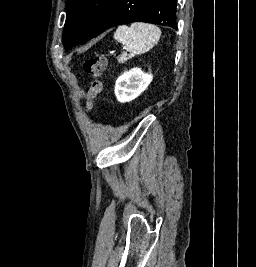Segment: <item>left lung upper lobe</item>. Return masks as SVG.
<instances>
[{
  "instance_id": "5c2ea615",
  "label": "left lung upper lobe",
  "mask_w": 256,
  "mask_h": 267,
  "mask_svg": "<svg viewBox=\"0 0 256 267\" xmlns=\"http://www.w3.org/2000/svg\"><path fill=\"white\" fill-rule=\"evenodd\" d=\"M66 5V50L118 24L148 22L177 29L175 0H67Z\"/></svg>"
}]
</instances>
